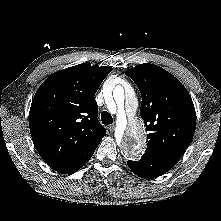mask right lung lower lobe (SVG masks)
<instances>
[{
  "instance_id": "98d812e1",
  "label": "right lung lower lobe",
  "mask_w": 221,
  "mask_h": 221,
  "mask_svg": "<svg viewBox=\"0 0 221 221\" xmlns=\"http://www.w3.org/2000/svg\"><path fill=\"white\" fill-rule=\"evenodd\" d=\"M98 145L99 143L89 147L74 158L53 168L62 174H70L77 171L89 161Z\"/></svg>"
}]
</instances>
